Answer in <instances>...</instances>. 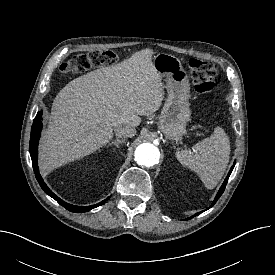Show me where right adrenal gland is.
I'll return each mask as SVG.
<instances>
[{
    "label": "right adrenal gland",
    "instance_id": "1",
    "mask_svg": "<svg viewBox=\"0 0 275 275\" xmlns=\"http://www.w3.org/2000/svg\"><path fill=\"white\" fill-rule=\"evenodd\" d=\"M124 142H125V139L116 138L114 141L110 142V143L108 144V146L114 145V146H116L117 148H119V147H120V144H121V143H124Z\"/></svg>",
    "mask_w": 275,
    "mask_h": 275
}]
</instances>
